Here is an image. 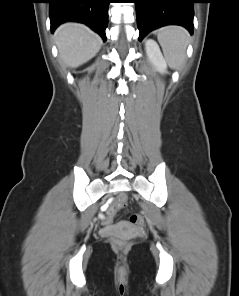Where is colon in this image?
Wrapping results in <instances>:
<instances>
[{"mask_svg": "<svg viewBox=\"0 0 239 296\" xmlns=\"http://www.w3.org/2000/svg\"><path fill=\"white\" fill-rule=\"evenodd\" d=\"M127 203V197L125 195H120L116 197L112 203V208L115 210L122 209ZM129 222L134 226H141L143 224V218L139 214H131L129 217ZM113 242L117 246H125L126 242L125 240L115 235L112 238Z\"/></svg>", "mask_w": 239, "mask_h": 296, "instance_id": "colon-1", "label": "colon"}]
</instances>
